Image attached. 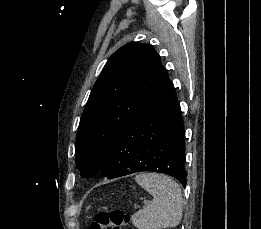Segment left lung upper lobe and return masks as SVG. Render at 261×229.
<instances>
[{"mask_svg": "<svg viewBox=\"0 0 261 229\" xmlns=\"http://www.w3.org/2000/svg\"><path fill=\"white\" fill-rule=\"evenodd\" d=\"M168 80L159 55L148 44L130 42L108 59L77 132L75 162L82 177L99 172L123 129Z\"/></svg>", "mask_w": 261, "mask_h": 229, "instance_id": "1", "label": "left lung upper lobe"}]
</instances>
